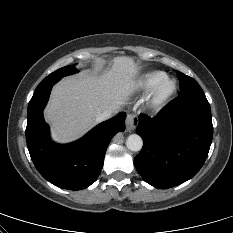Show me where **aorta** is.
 <instances>
[{"mask_svg":"<svg viewBox=\"0 0 233 233\" xmlns=\"http://www.w3.org/2000/svg\"><path fill=\"white\" fill-rule=\"evenodd\" d=\"M143 145L142 138L137 134H131L126 140V146L129 150L140 151Z\"/></svg>","mask_w":233,"mask_h":233,"instance_id":"obj_1","label":"aorta"}]
</instances>
